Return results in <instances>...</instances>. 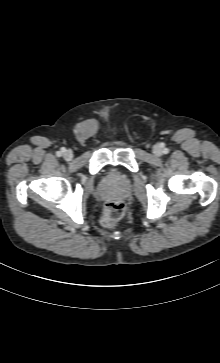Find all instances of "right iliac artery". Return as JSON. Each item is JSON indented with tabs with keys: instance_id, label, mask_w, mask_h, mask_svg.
<instances>
[{
	"instance_id": "1",
	"label": "right iliac artery",
	"mask_w": 220,
	"mask_h": 363,
	"mask_svg": "<svg viewBox=\"0 0 220 363\" xmlns=\"http://www.w3.org/2000/svg\"><path fill=\"white\" fill-rule=\"evenodd\" d=\"M65 151V149L64 148H62L61 149V152H64ZM61 152H57V156H60L61 155Z\"/></svg>"
}]
</instances>
